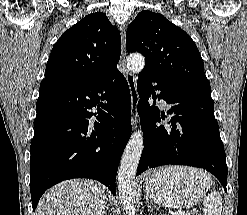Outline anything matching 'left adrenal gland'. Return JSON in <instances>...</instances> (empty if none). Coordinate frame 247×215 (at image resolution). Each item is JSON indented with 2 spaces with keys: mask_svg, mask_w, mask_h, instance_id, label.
<instances>
[{
  "mask_svg": "<svg viewBox=\"0 0 247 215\" xmlns=\"http://www.w3.org/2000/svg\"><path fill=\"white\" fill-rule=\"evenodd\" d=\"M146 203L148 204V205H150V201H149V199H148V197L146 196Z\"/></svg>",
  "mask_w": 247,
  "mask_h": 215,
  "instance_id": "1",
  "label": "left adrenal gland"
}]
</instances>
